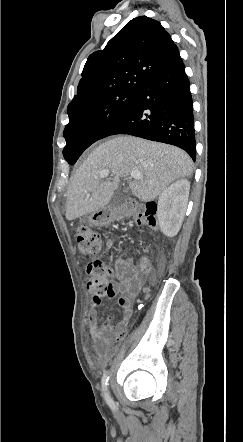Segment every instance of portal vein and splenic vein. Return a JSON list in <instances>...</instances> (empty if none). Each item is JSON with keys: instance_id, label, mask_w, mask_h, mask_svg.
Wrapping results in <instances>:
<instances>
[{"instance_id": "portal-vein-and-splenic-vein-1", "label": "portal vein and splenic vein", "mask_w": 243, "mask_h": 442, "mask_svg": "<svg viewBox=\"0 0 243 442\" xmlns=\"http://www.w3.org/2000/svg\"><path fill=\"white\" fill-rule=\"evenodd\" d=\"M108 175H109V169H104L101 171L99 176H100V178H105ZM130 176L134 179H141L142 178V175L139 171H131Z\"/></svg>"}]
</instances>
